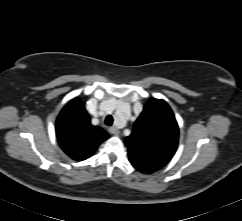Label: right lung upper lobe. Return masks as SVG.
<instances>
[{"label": "right lung upper lobe", "instance_id": "obj_1", "mask_svg": "<svg viewBox=\"0 0 242 221\" xmlns=\"http://www.w3.org/2000/svg\"><path fill=\"white\" fill-rule=\"evenodd\" d=\"M56 135L64 152L75 160L89 158L99 144L109 138L100 127L92 126L84 105L73 99L60 112Z\"/></svg>", "mask_w": 242, "mask_h": 221}]
</instances>
